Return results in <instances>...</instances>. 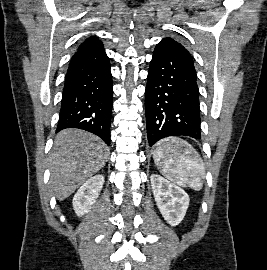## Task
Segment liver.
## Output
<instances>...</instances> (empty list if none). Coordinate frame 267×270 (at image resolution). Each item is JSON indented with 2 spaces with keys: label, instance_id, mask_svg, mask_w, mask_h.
Instances as JSON below:
<instances>
[{
  "label": "liver",
  "instance_id": "6515ba94",
  "mask_svg": "<svg viewBox=\"0 0 267 270\" xmlns=\"http://www.w3.org/2000/svg\"><path fill=\"white\" fill-rule=\"evenodd\" d=\"M109 157V148L99 137L78 129L59 132L50 157V185L63 201L101 170Z\"/></svg>",
  "mask_w": 267,
  "mask_h": 270
}]
</instances>
